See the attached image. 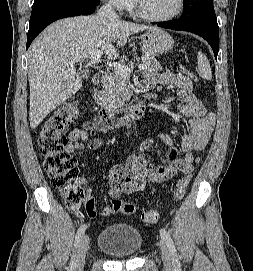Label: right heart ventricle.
I'll use <instances>...</instances> for the list:
<instances>
[{
  "instance_id": "obj_1",
  "label": "right heart ventricle",
  "mask_w": 253,
  "mask_h": 271,
  "mask_svg": "<svg viewBox=\"0 0 253 271\" xmlns=\"http://www.w3.org/2000/svg\"><path fill=\"white\" fill-rule=\"evenodd\" d=\"M133 1L132 0H129V2H128V4H127V6H126V8H128L129 10H132L133 9Z\"/></svg>"
}]
</instances>
